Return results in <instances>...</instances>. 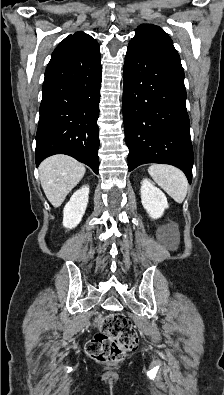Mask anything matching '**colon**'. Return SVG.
<instances>
[{
    "mask_svg": "<svg viewBox=\"0 0 224 395\" xmlns=\"http://www.w3.org/2000/svg\"><path fill=\"white\" fill-rule=\"evenodd\" d=\"M98 331L87 343L86 352L96 362L111 363L123 359L138 346V338L130 320L119 313L102 317Z\"/></svg>",
    "mask_w": 224,
    "mask_h": 395,
    "instance_id": "1",
    "label": "colon"
}]
</instances>
